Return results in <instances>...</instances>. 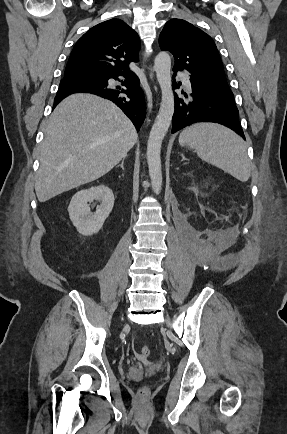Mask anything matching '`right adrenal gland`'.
I'll return each mask as SVG.
<instances>
[{"mask_svg": "<svg viewBox=\"0 0 287 434\" xmlns=\"http://www.w3.org/2000/svg\"><path fill=\"white\" fill-rule=\"evenodd\" d=\"M124 160H125V158H123V160H122V162H121V164L120 165H118V167H121L123 170H124Z\"/></svg>", "mask_w": 287, "mask_h": 434, "instance_id": "2a0ac1e0", "label": "right adrenal gland"}]
</instances>
